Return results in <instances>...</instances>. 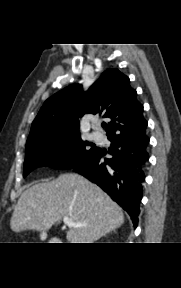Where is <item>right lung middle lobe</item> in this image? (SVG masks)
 <instances>
[{
	"instance_id": "right-lung-middle-lobe-1",
	"label": "right lung middle lobe",
	"mask_w": 181,
	"mask_h": 288,
	"mask_svg": "<svg viewBox=\"0 0 181 288\" xmlns=\"http://www.w3.org/2000/svg\"><path fill=\"white\" fill-rule=\"evenodd\" d=\"M82 141L79 133L54 132L29 139L23 176L41 166L71 169L89 158L96 147Z\"/></svg>"
}]
</instances>
